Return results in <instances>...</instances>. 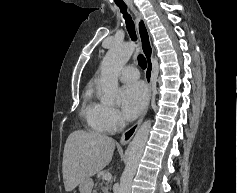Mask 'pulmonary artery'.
I'll list each match as a JSON object with an SVG mask.
<instances>
[{
    "instance_id": "pulmonary-artery-1",
    "label": "pulmonary artery",
    "mask_w": 237,
    "mask_h": 193,
    "mask_svg": "<svg viewBox=\"0 0 237 193\" xmlns=\"http://www.w3.org/2000/svg\"><path fill=\"white\" fill-rule=\"evenodd\" d=\"M118 76L123 82L133 83L139 78V71L134 66H126L119 72Z\"/></svg>"
}]
</instances>
